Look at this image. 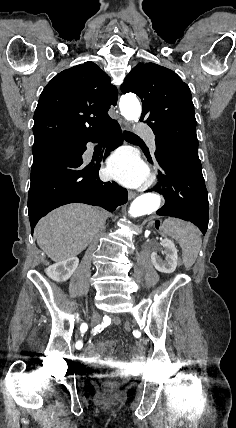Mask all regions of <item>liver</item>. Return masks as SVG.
<instances>
[{"label": "liver", "mask_w": 236, "mask_h": 428, "mask_svg": "<svg viewBox=\"0 0 236 428\" xmlns=\"http://www.w3.org/2000/svg\"><path fill=\"white\" fill-rule=\"evenodd\" d=\"M104 224L96 208L68 204L41 218L35 228L37 244L53 262H62L83 252Z\"/></svg>", "instance_id": "6515ba94"}]
</instances>
